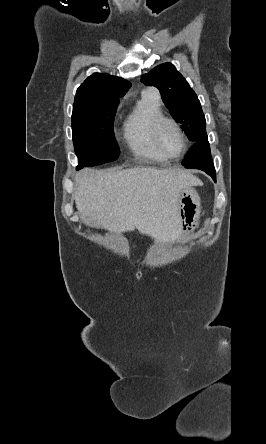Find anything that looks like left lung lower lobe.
Listing matches in <instances>:
<instances>
[{
  "label": "left lung lower lobe",
  "instance_id": "left-lung-lower-lobe-1",
  "mask_svg": "<svg viewBox=\"0 0 266 444\" xmlns=\"http://www.w3.org/2000/svg\"><path fill=\"white\" fill-rule=\"evenodd\" d=\"M185 168H196L205 171L214 181L216 172L213 165L208 139L200 140L182 161Z\"/></svg>",
  "mask_w": 266,
  "mask_h": 444
}]
</instances>
